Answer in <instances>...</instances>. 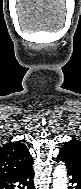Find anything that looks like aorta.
I'll return each mask as SVG.
<instances>
[{"label":"aorta","mask_w":81,"mask_h":189,"mask_svg":"<svg viewBox=\"0 0 81 189\" xmlns=\"http://www.w3.org/2000/svg\"><path fill=\"white\" fill-rule=\"evenodd\" d=\"M53 189H67V171L65 165L56 166L53 173Z\"/></svg>","instance_id":"762f6f07"}]
</instances>
